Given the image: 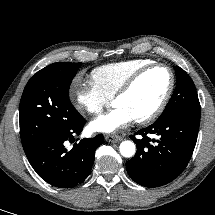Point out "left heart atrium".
Masks as SVG:
<instances>
[{
	"mask_svg": "<svg viewBox=\"0 0 215 215\" xmlns=\"http://www.w3.org/2000/svg\"><path fill=\"white\" fill-rule=\"evenodd\" d=\"M134 120L132 114L125 107L117 106L112 111L92 120L90 129L106 134L116 133L128 127Z\"/></svg>",
	"mask_w": 215,
	"mask_h": 215,
	"instance_id": "1",
	"label": "left heart atrium"
}]
</instances>
